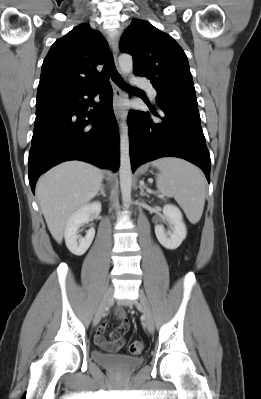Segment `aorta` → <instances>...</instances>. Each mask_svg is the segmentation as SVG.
Returning a JSON list of instances; mask_svg holds the SVG:
<instances>
[{
  "mask_svg": "<svg viewBox=\"0 0 261 399\" xmlns=\"http://www.w3.org/2000/svg\"><path fill=\"white\" fill-rule=\"evenodd\" d=\"M119 67L123 75H128L133 69V59L129 54H121L119 56ZM126 119V116H124ZM130 144H129V129L126 121L122 123L120 133V188L122 193V200L127 206L131 202L132 189V171L130 163Z\"/></svg>",
  "mask_w": 261,
  "mask_h": 399,
  "instance_id": "762f6f07",
  "label": "aorta"
}]
</instances>
